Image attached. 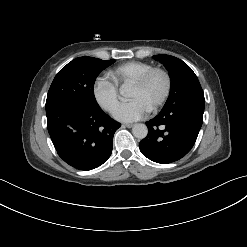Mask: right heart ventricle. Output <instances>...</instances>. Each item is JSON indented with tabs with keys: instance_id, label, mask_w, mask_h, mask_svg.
Wrapping results in <instances>:
<instances>
[{
	"instance_id": "obj_1",
	"label": "right heart ventricle",
	"mask_w": 247,
	"mask_h": 247,
	"mask_svg": "<svg viewBox=\"0 0 247 247\" xmlns=\"http://www.w3.org/2000/svg\"><path fill=\"white\" fill-rule=\"evenodd\" d=\"M153 67L152 64L141 61H129L120 64L110 71V77L117 83H133L141 75Z\"/></svg>"
}]
</instances>
